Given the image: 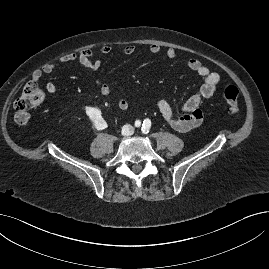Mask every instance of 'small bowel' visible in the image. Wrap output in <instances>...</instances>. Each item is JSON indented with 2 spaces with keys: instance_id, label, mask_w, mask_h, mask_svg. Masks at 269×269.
Here are the masks:
<instances>
[{
  "instance_id": "obj_1",
  "label": "small bowel",
  "mask_w": 269,
  "mask_h": 269,
  "mask_svg": "<svg viewBox=\"0 0 269 269\" xmlns=\"http://www.w3.org/2000/svg\"><path fill=\"white\" fill-rule=\"evenodd\" d=\"M161 46L152 44L149 51L152 54L161 52ZM112 52L110 45H105L99 50L100 55H109ZM135 52L134 45H128L124 48L123 54L130 56ZM168 59H175L177 54L173 48H168L165 52ZM78 62L83 67L96 71L100 69L102 62L95 58V53L91 49H81L77 53H68L61 56L57 63H46L40 69H37L32 74V80L39 82L44 74L52 73L57 64H70ZM187 67L192 72L201 77L202 83L195 94L188 98L181 107V110L176 111L167 101L161 100L157 103V108L166 122L175 130L186 133L198 127L203 120V112L200 109L201 103L204 99L212 97L221 82L220 74L213 72L207 66L203 65L199 60L191 58L187 61ZM96 85L101 94L104 96H111L112 89L109 84L96 80ZM46 91L48 94H54L57 91V86L53 82L46 84ZM117 106L121 111L129 110V102L125 98H120L117 101Z\"/></svg>"
}]
</instances>
